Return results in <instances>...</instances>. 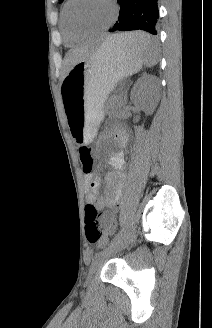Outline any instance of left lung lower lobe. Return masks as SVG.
I'll list each match as a JSON object with an SVG mask.
<instances>
[{
  "mask_svg": "<svg viewBox=\"0 0 212 328\" xmlns=\"http://www.w3.org/2000/svg\"><path fill=\"white\" fill-rule=\"evenodd\" d=\"M120 4L119 19L109 32L144 30L156 35L155 25L159 18L158 0H117ZM150 37V36H149ZM156 41L150 37L144 45H155ZM140 44V43H139ZM134 44H131L133 47Z\"/></svg>",
  "mask_w": 212,
  "mask_h": 328,
  "instance_id": "0a47b994",
  "label": "left lung lower lobe"
}]
</instances>
